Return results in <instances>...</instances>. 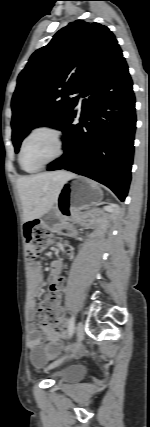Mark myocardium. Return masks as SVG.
I'll return each instance as SVG.
<instances>
[{
	"mask_svg": "<svg viewBox=\"0 0 150 427\" xmlns=\"http://www.w3.org/2000/svg\"><path fill=\"white\" fill-rule=\"evenodd\" d=\"M42 132L49 133V134H51L55 138V141H56V144H57V152H56V154L51 159H49L48 161L44 162L43 164H41L37 168H35L33 170H28V169H26L24 167L23 161H22V156H23L24 148H25L27 142L34 135H36L38 133H42ZM64 150H65L64 134H63V132L59 128H56V127H53V126H47V125L39 126V127L34 128L33 130H31L27 134V136L24 138V140L22 141L21 147H20V150H19V154H18L19 164H20L21 168L24 171H26V172H29V173L38 172V171L44 169L49 164H51V163L55 162L56 160H58L64 154Z\"/></svg>",
	"mask_w": 150,
	"mask_h": 427,
	"instance_id": "1",
	"label": "myocardium"
}]
</instances>
